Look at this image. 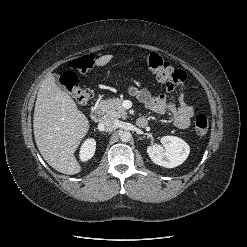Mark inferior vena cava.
Listing matches in <instances>:
<instances>
[{
    "instance_id": "1",
    "label": "inferior vena cava",
    "mask_w": 247,
    "mask_h": 247,
    "mask_svg": "<svg viewBox=\"0 0 247 247\" xmlns=\"http://www.w3.org/2000/svg\"><path fill=\"white\" fill-rule=\"evenodd\" d=\"M101 127L104 131L111 132L117 128V122L113 117H107L102 121Z\"/></svg>"
}]
</instances>
